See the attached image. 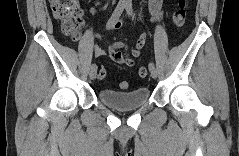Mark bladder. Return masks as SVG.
<instances>
[{"mask_svg":"<svg viewBox=\"0 0 239 156\" xmlns=\"http://www.w3.org/2000/svg\"><path fill=\"white\" fill-rule=\"evenodd\" d=\"M150 98V91L146 87L131 92H120L103 88L98 91V99L107 107L116 111H129L142 107Z\"/></svg>","mask_w":239,"mask_h":156,"instance_id":"bladder-1","label":"bladder"}]
</instances>
